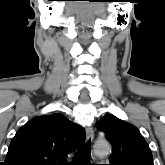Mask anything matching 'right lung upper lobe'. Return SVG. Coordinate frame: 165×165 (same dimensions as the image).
Here are the masks:
<instances>
[{"mask_svg": "<svg viewBox=\"0 0 165 165\" xmlns=\"http://www.w3.org/2000/svg\"><path fill=\"white\" fill-rule=\"evenodd\" d=\"M85 141V131L62 114L33 118L12 139L3 165H61Z\"/></svg>", "mask_w": 165, "mask_h": 165, "instance_id": "right-lung-upper-lobe-1", "label": "right lung upper lobe"}]
</instances>
